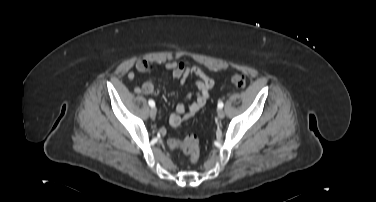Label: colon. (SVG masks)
<instances>
[{"label":"colon","mask_w":376,"mask_h":202,"mask_svg":"<svg viewBox=\"0 0 376 202\" xmlns=\"http://www.w3.org/2000/svg\"><path fill=\"white\" fill-rule=\"evenodd\" d=\"M232 84L237 88H243L246 84V79L241 74H234L230 78ZM168 145L172 149H179L183 152L186 159L190 163H196L200 156L199 139L194 134H189L184 138H171L168 140Z\"/></svg>","instance_id":"obj_1"}]
</instances>
